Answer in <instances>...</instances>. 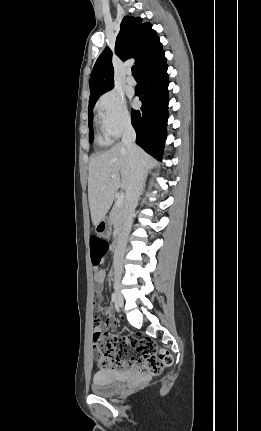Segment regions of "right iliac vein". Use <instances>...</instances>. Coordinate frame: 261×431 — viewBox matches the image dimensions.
I'll list each match as a JSON object with an SVG mask.
<instances>
[{
  "instance_id": "obj_1",
  "label": "right iliac vein",
  "mask_w": 261,
  "mask_h": 431,
  "mask_svg": "<svg viewBox=\"0 0 261 431\" xmlns=\"http://www.w3.org/2000/svg\"><path fill=\"white\" fill-rule=\"evenodd\" d=\"M114 290H115V296H116V305L119 308L123 307V296L121 294V283H120V279L116 278L114 281Z\"/></svg>"
}]
</instances>
